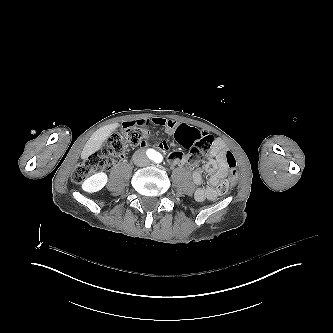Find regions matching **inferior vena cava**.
<instances>
[{"label": "inferior vena cava", "instance_id": "obj_1", "mask_svg": "<svg viewBox=\"0 0 333 333\" xmlns=\"http://www.w3.org/2000/svg\"><path fill=\"white\" fill-rule=\"evenodd\" d=\"M133 162L136 166L143 167L149 165L150 160L146 152L140 149L133 154Z\"/></svg>", "mask_w": 333, "mask_h": 333}]
</instances>
